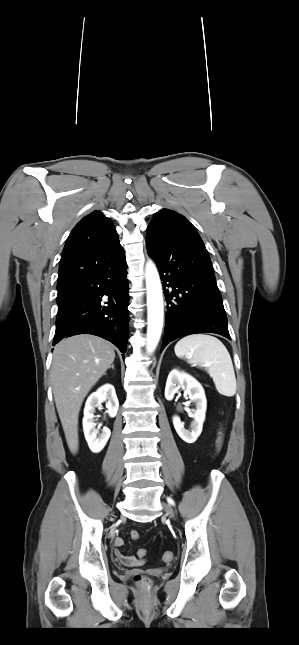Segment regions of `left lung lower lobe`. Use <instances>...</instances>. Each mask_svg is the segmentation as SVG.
Here are the masks:
<instances>
[{
  "label": "left lung lower lobe",
  "instance_id": "left-lung-lower-lobe-1",
  "mask_svg": "<svg viewBox=\"0 0 299 645\" xmlns=\"http://www.w3.org/2000/svg\"><path fill=\"white\" fill-rule=\"evenodd\" d=\"M146 246L157 264L167 301L162 350L171 341L195 333H216L231 340L211 260L198 232L176 225L148 230Z\"/></svg>",
  "mask_w": 299,
  "mask_h": 645
}]
</instances>
